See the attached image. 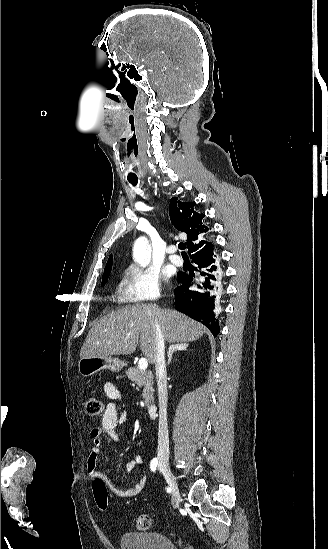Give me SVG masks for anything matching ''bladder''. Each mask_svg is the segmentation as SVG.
I'll use <instances>...</instances> for the list:
<instances>
[{
  "mask_svg": "<svg viewBox=\"0 0 328 549\" xmlns=\"http://www.w3.org/2000/svg\"><path fill=\"white\" fill-rule=\"evenodd\" d=\"M121 549H176L174 542L159 532L122 534Z\"/></svg>",
  "mask_w": 328,
  "mask_h": 549,
  "instance_id": "1",
  "label": "bladder"
}]
</instances>
